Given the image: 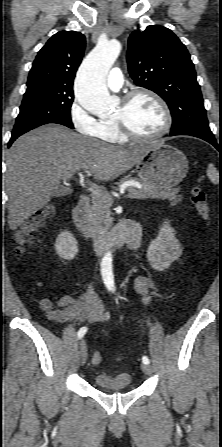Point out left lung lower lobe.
<instances>
[{"label":"left lung lower lobe","mask_w":222,"mask_h":447,"mask_svg":"<svg viewBox=\"0 0 222 447\" xmlns=\"http://www.w3.org/2000/svg\"><path fill=\"white\" fill-rule=\"evenodd\" d=\"M175 135H190V136L201 138V139L211 143L216 149H218L220 152H222V146L218 145V143L213 135H205V134H201L199 132L192 131V130H180L177 132L170 133V136H175Z\"/></svg>","instance_id":"0a47b994"}]
</instances>
